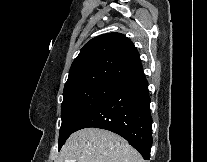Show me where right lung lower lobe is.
I'll return each mask as SVG.
<instances>
[{"mask_svg":"<svg viewBox=\"0 0 207 162\" xmlns=\"http://www.w3.org/2000/svg\"><path fill=\"white\" fill-rule=\"evenodd\" d=\"M149 105L148 82L140 71L115 86L75 131L88 127L112 131L125 138L145 160H149L152 144Z\"/></svg>","mask_w":207,"mask_h":162,"instance_id":"right-lung-lower-lobe-1","label":"right lung lower lobe"}]
</instances>
